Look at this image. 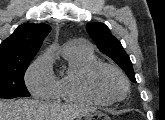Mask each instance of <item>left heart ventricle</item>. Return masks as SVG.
I'll return each mask as SVG.
<instances>
[{"label":"left heart ventricle","instance_id":"left-heart-ventricle-1","mask_svg":"<svg viewBox=\"0 0 165 120\" xmlns=\"http://www.w3.org/2000/svg\"><path fill=\"white\" fill-rule=\"evenodd\" d=\"M97 90L104 96L119 97L124 92V84L118 74L109 69L102 70L95 80Z\"/></svg>","mask_w":165,"mask_h":120}]
</instances>
